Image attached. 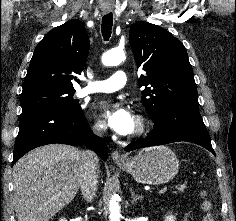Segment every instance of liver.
Segmentation results:
<instances>
[{"label":"liver","instance_id":"6515ba94","mask_svg":"<svg viewBox=\"0 0 236 221\" xmlns=\"http://www.w3.org/2000/svg\"><path fill=\"white\" fill-rule=\"evenodd\" d=\"M82 151L51 144L36 148L13 168L18 221H49L67 206L80 187Z\"/></svg>","mask_w":236,"mask_h":221}]
</instances>
